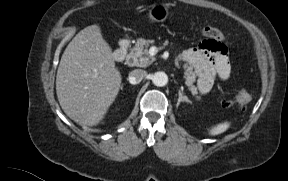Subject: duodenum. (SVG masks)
Here are the masks:
<instances>
[{
    "mask_svg": "<svg viewBox=\"0 0 288 181\" xmlns=\"http://www.w3.org/2000/svg\"><path fill=\"white\" fill-rule=\"evenodd\" d=\"M120 49L122 51L121 60H130V52H131V46L130 43L127 40H123L120 44Z\"/></svg>",
    "mask_w": 288,
    "mask_h": 181,
    "instance_id": "duodenum-1",
    "label": "duodenum"
}]
</instances>
